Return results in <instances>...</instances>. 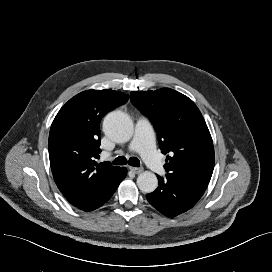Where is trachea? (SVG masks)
I'll list each match as a JSON object with an SVG mask.
<instances>
[{"label": "trachea", "mask_w": 272, "mask_h": 272, "mask_svg": "<svg viewBox=\"0 0 272 272\" xmlns=\"http://www.w3.org/2000/svg\"><path fill=\"white\" fill-rule=\"evenodd\" d=\"M127 163L134 167L140 166V161L136 157H131L127 161V159L124 156H119L113 161L114 165H126Z\"/></svg>", "instance_id": "trachea-1"}]
</instances>
